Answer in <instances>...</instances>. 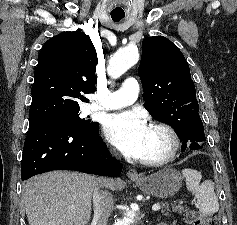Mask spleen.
I'll use <instances>...</instances> for the list:
<instances>
[{
  "instance_id": "spleen-1",
  "label": "spleen",
  "mask_w": 237,
  "mask_h": 225,
  "mask_svg": "<svg viewBox=\"0 0 237 225\" xmlns=\"http://www.w3.org/2000/svg\"><path fill=\"white\" fill-rule=\"evenodd\" d=\"M186 178V187L196 199V207L206 215H212L219 210L218 198L214 192V183L206 180L201 184L202 175L197 170L185 168L182 170Z\"/></svg>"
}]
</instances>
